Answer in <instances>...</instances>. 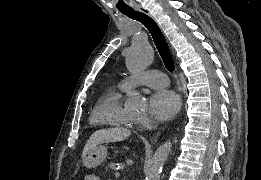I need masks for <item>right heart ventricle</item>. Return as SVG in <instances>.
<instances>
[{
    "mask_svg": "<svg viewBox=\"0 0 261 180\" xmlns=\"http://www.w3.org/2000/svg\"><path fill=\"white\" fill-rule=\"evenodd\" d=\"M122 92L123 89L118 85L99 97L90 115V121H99V126H90L91 131H98L99 127H120L117 118L119 112L122 110Z\"/></svg>",
    "mask_w": 261,
    "mask_h": 180,
    "instance_id": "obj_1",
    "label": "right heart ventricle"
}]
</instances>
